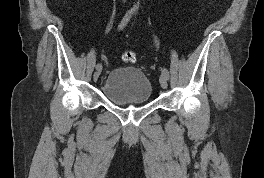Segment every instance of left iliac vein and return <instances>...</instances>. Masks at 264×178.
<instances>
[{"mask_svg":"<svg viewBox=\"0 0 264 178\" xmlns=\"http://www.w3.org/2000/svg\"><path fill=\"white\" fill-rule=\"evenodd\" d=\"M160 85L163 89H166L168 86V78L164 75L161 74L159 78Z\"/></svg>","mask_w":264,"mask_h":178,"instance_id":"obj_1","label":"left iliac vein"}]
</instances>
